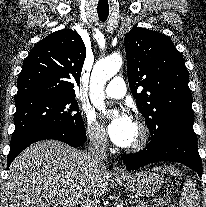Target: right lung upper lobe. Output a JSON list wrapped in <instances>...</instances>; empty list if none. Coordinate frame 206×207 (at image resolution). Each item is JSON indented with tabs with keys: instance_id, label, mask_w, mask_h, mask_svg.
Wrapping results in <instances>:
<instances>
[{
	"instance_id": "1",
	"label": "right lung upper lobe",
	"mask_w": 206,
	"mask_h": 207,
	"mask_svg": "<svg viewBox=\"0 0 206 207\" xmlns=\"http://www.w3.org/2000/svg\"><path fill=\"white\" fill-rule=\"evenodd\" d=\"M86 48L81 36L63 29L39 41L24 60L16 100L33 95L74 96Z\"/></svg>"
}]
</instances>
